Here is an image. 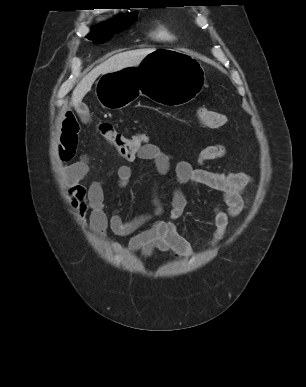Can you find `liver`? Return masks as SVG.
<instances>
[{"instance_id": "6515ba94", "label": "liver", "mask_w": 306, "mask_h": 387, "mask_svg": "<svg viewBox=\"0 0 306 387\" xmlns=\"http://www.w3.org/2000/svg\"><path fill=\"white\" fill-rule=\"evenodd\" d=\"M154 49H139L126 51L113 55L105 62L96 66L75 87L72 93L71 103L78 108L84 96L91 90V86L101 74L120 71L124 68L137 66Z\"/></svg>"}]
</instances>
